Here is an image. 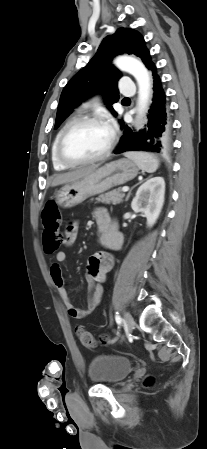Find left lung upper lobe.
<instances>
[{
	"label": "left lung upper lobe",
	"mask_w": 207,
	"mask_h": 449,
	"mask_svg": "<svg viewBox=\"0 0 207 449\" xmlns=\"http://www.w3.org/2000/svg\"><path fill=\"white\" fill-rule=\"evenodd\" d=\"M123 53L137 55L147 68L152 63L143 36L137 31L119 28L113 35L107 36L95 56L64 87L58 105L55 129L73 108L98 92L105 93L107 107L113 115H117L111 104L119 100L117 82L121 73L111 64V60Z\"/></svg>",
	"instance_id": "5c2ea615"
}]
</instances>
